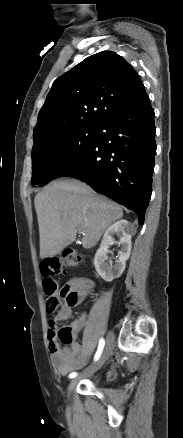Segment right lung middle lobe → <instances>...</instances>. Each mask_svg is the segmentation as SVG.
Segmentation results:
<instances>
[{"mask_svg":"<svg viewBox=\"0 0 183 438\" xmlns=\"http://www.w3.org/2000/svg\"><path fill=\"white\" fill-rule=\"evenodd\" d=\"M98 126H81L46 134L32 149L33 185L47 184L93 141Z\"/></svg>","mask_w":183,"mask_h":438,"instance_id":"obj_1","label":"right lung middle lobe"}]
</instances>
